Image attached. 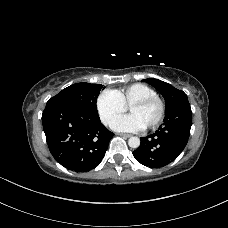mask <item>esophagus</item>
<instances>
[{
  "mask_svg": "<svg viewBox=\"0 0 228 228\" xmlns=\"http://www.w3.org/2000/svg\"><path fill=\"white\" fill-rule=\"evenodd\" d=\"M117 135L122 136V137H125V138L131 137L130 134H126V133H118Z\"/></svg>",
  "mask_w": 228,
  "mask_h": 228,
  "instance_id": "1",
  "label": "esophagus"
}]
</instances>
